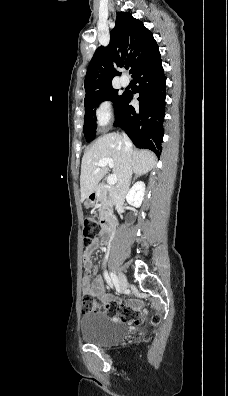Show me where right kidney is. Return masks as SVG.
Here are the masks:
<instances>
[{
	"mask_svg": "<svg viewBox=\"0 0 228 396\" xmlns=\"http://www.w3.org/2000/svg\"><path fill=\"white\" fill-rule=\"evenodd\" d=\"M145 183L142 181L136 182L133 187L129 190L126 196L128 204L139 208L144 199Z\"/></svg>",
	"mask_w": 228,
	"mask_h": 396,
	"instance_id": "right-kidney-1",
	"label": "right kidney"
}]
</instances>
